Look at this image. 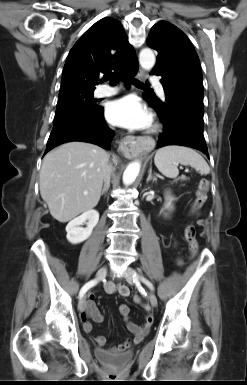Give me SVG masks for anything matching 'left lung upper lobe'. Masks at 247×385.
Listing matches in <instances>:
<instances>
[{
  "instance_id": "1",
  "label": "left lung upper lobe",
  "mask_w": 247,
  "mask_h": 385,
  "mask_svg": "<svg viewBox=\"0 0 247 385\" xmlns=\"http://www.w3.org/2000/svg\"><path fill=\"white\" fill-rule=\"evenodd\" d=\"M147 44L158 51L153 71H162L176 86L203 101V78L198 55L188 37L173 24L160 21L149 34ZM146 101L161 102L144 94Z\"/></svg>"
}]
</instances>
